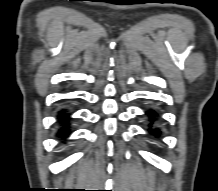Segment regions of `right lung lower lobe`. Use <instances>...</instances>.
I'll use <instances>...</instances> for the list:
<instances>
[{
    "instance_id": "right-lung-lower-lobe-1",
    "label": "right lung lower lobe",
    "mask_w": 218,
    "mask_h": 191,
    "mask_svg": "<svg viewBox=\"0 0 218 191\" xmlns=\"http://www.w3.org/2000/svg\"><path fill=\"white\" fill-rule=\"evenodd\" d=\"M69 113L66 109H63L59 112V123L60 130L58 132V136L61 138H65L69 135Z\"/></svg>"
}]
</instances>
